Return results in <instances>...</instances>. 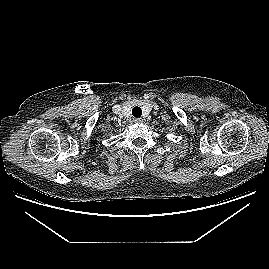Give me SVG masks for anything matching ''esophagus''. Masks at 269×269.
Masks as SVG:
<instances>
[{
  "mask_svg": "<svg viewBox=\"0 0 269 269\" xmlns=\"http://www.w3.org/2000/svg\"><path fill=\"white\" fill-rule=\"evenodd\" d=\"M134 122L137 124H141V123H143V119L142 118H134Z\"/></svg>",
  "mask_w": 269,
  "mask_h": 269,
  "instance_id": "34e87169",
  "label": "esophagus"
}]
</instances>
